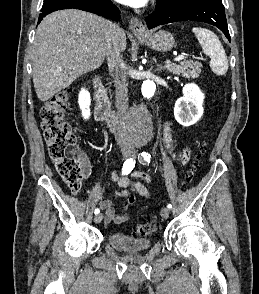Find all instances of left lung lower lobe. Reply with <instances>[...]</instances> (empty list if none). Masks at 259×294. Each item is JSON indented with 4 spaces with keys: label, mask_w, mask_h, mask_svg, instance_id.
I'll use <instances>...</instances> for the list:
<instances>
[{
    "label": "left lung lower lobe",
    "mask_w": 259,
    "mask_h": 294,
    "mask_svg": "<svg viewBox=\"0 0 259 294\" xmlns=\"http://www.w3.org/2000/svg\"><path fill=\"white\" fill-rule=\"evenodd\" d=\"M145 20L149 29L177 21H201L218 27L230 41L221 0H189L167 9H160L157 1L156 10Z\"/></svg>",
    "instance_id": "1"
}]
</instances>
